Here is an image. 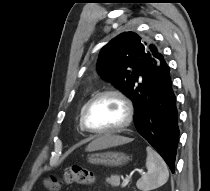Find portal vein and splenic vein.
<instances>
[{"label": "portal vein and splenic vein", "instance_id": "18ae733b", "mask_svg": "<svg viewBox=\"0 0 210 191\" xmlns=\"http://www.w3.org/2000/svg\"><path fill=\"white\" fill-rule=\"evenodd\" d=\"M140 174H144V172L142 171H139ZM129 183V177H126L125 179H123V182H122V187H126Z\"/></svg>", "mask_w": 210, "mask_h": 191}]
</instances>
